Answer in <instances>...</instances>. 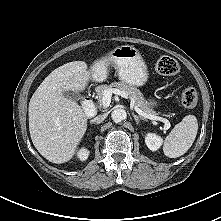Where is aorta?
Wrapping results in <instances>:
<instances>
[{
	"label": "aorta",
	"mask_w": 221,
	"mask_h": 221,
	"mask_svg": "<svg viewBox=\"0 0 221 221\" xmlns=\"http://www.w3.org/2000/svg\"><path fill=\"white\" fill-rule=\"evenodd\" d=\"M112 120L119 123L127 118V113L124 109L117 108L111 114Z\"/></svg>",
	"instance_id": "aorta-1"
}]
</instances>
